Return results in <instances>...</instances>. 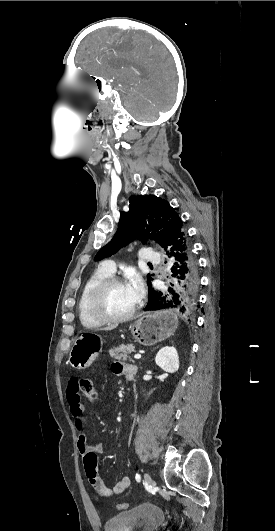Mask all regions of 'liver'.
<instances>
[{"mask_svg": "<svg viewBox=\"0 0 275 531\" xmlns=\"http://www.w3.org/2000/svg\"><path fill=\"white\" fill-rule=\"evenodd\" d=\"M118 327L117 323L116 325H110V327H105V329H100V331H112V329H116Z\"/></svg>", "mask_w": 275, "mask_h": 531, "instance_id": "6515ba94", "label": "liver"}]
</instances>
